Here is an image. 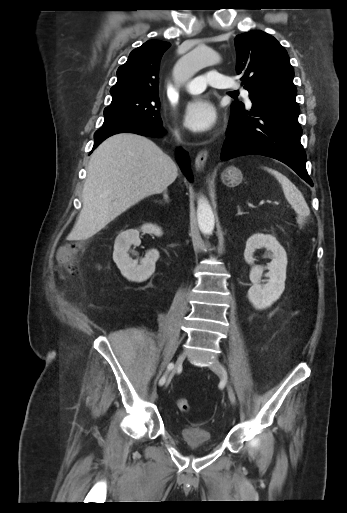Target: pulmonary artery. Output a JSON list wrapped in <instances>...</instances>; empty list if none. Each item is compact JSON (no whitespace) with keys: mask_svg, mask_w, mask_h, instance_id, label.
Returning <instances> with one entry per match:
<instances>
[{"mask_svg":"<svg viewBox=\"0 0 347 513\" xmlns=\"http://www.w3.org/2000/svg\"><path fill=\"white\" fill-rule=\"evenodd\" d=\"M210 85L220 89H240V86L231 78L219 73L216 70H210L203 75H199L192 79L186 85V90L191 94L203 92ZM242 95L249 101V92L241 88Z\"/></svg>","mask_w":347,"mask_h":513,"instance_id":"pulmonary-artery-1","label":"pulmonary artery"}]
</instances>
